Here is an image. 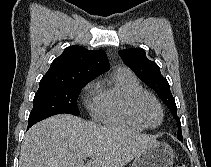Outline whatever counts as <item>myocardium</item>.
<instances>
[{"label": "myocardium", "instance_id": "myocardium-1", "mask_svg": "<svg viewBox=\"0 0 211 167\" xmlns=\"http://www.w3.org/2000/svg\"><path fill=\"white\" fill-rule=\"evenodd\" d=\"M146 97L152 99L157 104L160 110L161 119H160V122L156 125H150L147 122H145V120L142 118L140 114V110H139L140 102L142 101L143 98H146ZM129 108L134 118L146 128H157L163 123L164 116H165L163 106L161 102L159 101V99L153 93L149 91L142 90L135 93L130 99Z\"/></svg>", "mask_w": 211, "mask_h": 167}]
</instances>
